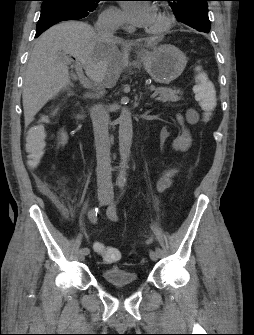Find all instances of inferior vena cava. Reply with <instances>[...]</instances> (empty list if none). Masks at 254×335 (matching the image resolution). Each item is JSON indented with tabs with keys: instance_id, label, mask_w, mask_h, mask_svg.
<instances>
[{
	"instance_id": "obj_1",
	"label": "inferior vena cava",
	"mask_w": 254,
	"mask_h": 335,
	"mask_svg": "<svg viewBox=\"0 0 254 335\" xmlns=\"http://www.w3.org/2000/svg\"><path fill=\"white\" fill-rule=\"evenodd\" d=\"M94 27L100 37H113V34L118 29L115 20L108 16L99 17ZM91 119L96 145L97 186L99 190L111 191V159L108 132L109 115L104 105L97 104L91 108Z\"/></svg>"
}]
</instances>
